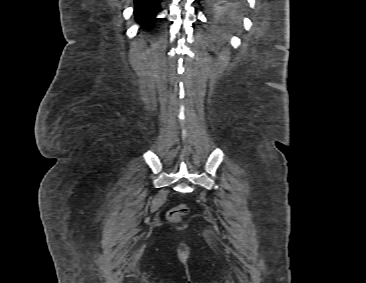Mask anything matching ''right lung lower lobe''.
Returning a JSON list of instances; mask_svg holds the SVG:
<instances>
[{
  "mask_svg": "<svg viewBox=\"0 0 366 283\" xmlns=\"http://www.w3.org/2000/svg\"><path fill=\"white\" fill-rule=\"evenodd\" d=\"M161 0H134V13L142 27H149L155 21L154 17Z\"/></svg>",
  "mask_w": 366,
  "mask_h": 283,
  "instance_id": "1",
  "label": "right lung lower lobe"
}]
</instances>
